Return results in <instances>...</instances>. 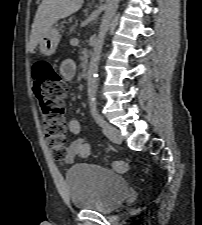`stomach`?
<instances>
[{"label":"stomach","instance_id":"stomach-1","mask_svg":"<svg viewBox=\"0 0 202 225\" xmlns=\"http://www.w3.org/2000/svg\"><path fill=\"white\" fill-rule=\"evenodd\" d=\"M60 31L57 27H51L39 41V51L44 56H51L55 53L60 42Z\"/></svg>","mask_w":202,"mask_h":225}]
</instances>
